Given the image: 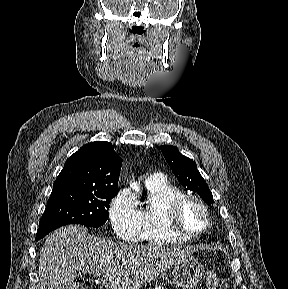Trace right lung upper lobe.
<instances>
[{"label": "right lung upper lobe", "mask_w": 288, "mask_h": 289, "mask_svg": "<svg viewBox=\"0 0 288 289\" xmlns=\"http://www.w3.org/2000/svg\"><path fill=\"white\" fill-rule=\"evenodd\" d=\"M122 159L105 141L91 142L69 157L52 191L117 189Z\"/></svg>", "instance_id": "right-lung-upper-lobe-1"}]
</instances>
